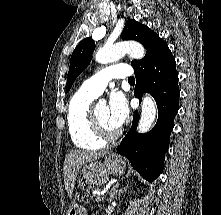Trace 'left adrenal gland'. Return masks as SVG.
Instances as JSON below:
<instances>
[{"mask_svg":"<svg viewBox=\"0 0 221 215\" xmlns=\"http://www.w3.org/2000/svg\"><path fill=\"white\" fill-rule=\"evenodd\" d=\"M118 187H119V184H116V186L112 187V189H111V198H114V196L117 195V193L122 191V190H118Z\"/></svg>","mask_w":221,"mask_h":215,"instance_id":"obj_1","label":"left adrenal gland"}]
</instances>
